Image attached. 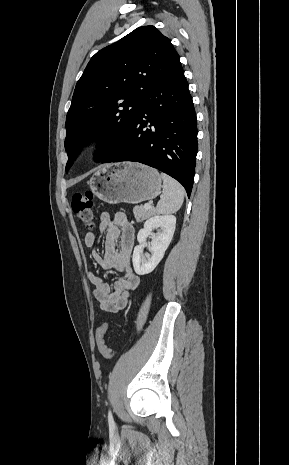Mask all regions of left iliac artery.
<instances>
[{
  "label": "left iliac artery",
  "mask_w": 289,
  "mask_h": 465,
  "mask_svg": "<svg viewBox=\"0 0 289 465\" xmlns=\"http://www.w3.org/2000/svg\"><path fill=\"white\" fill-rule=\"evenodd\" d=\"M108 421L110 425H114V420L111 411L108 412Z\"/></svg>",
  "instance_id": "1"
}]
</instances>
